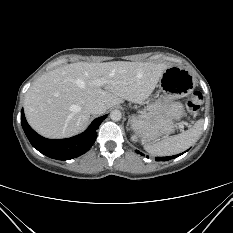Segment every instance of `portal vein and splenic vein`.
Listing matches in <instances>:
<instances>
[{
	"mask_svg": "<svg viewBox=\"0 0 233 233\" xmlns=\"http://www.w3.org/2000/svg\"><path fill=\"white\" fill-rule=\"evenodd\" d=\"M97 85H102V83H101V82H98ZM182 126H183V125H182Z\"/></svg>",
	"mask_w": 233,
	"mask_h": 233,
	"instance_id": "obj_1",
	"label": "portal vein and splenic vein"
}]
</instances>
